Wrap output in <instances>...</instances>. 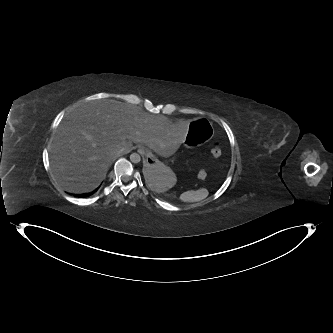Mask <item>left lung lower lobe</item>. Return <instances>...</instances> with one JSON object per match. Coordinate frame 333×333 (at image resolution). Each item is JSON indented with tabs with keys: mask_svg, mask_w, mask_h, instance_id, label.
<instances>
[{
	"mask_svg": "<svg viewBox=\"0 0 333 333\" xmlns=\"http://www.w3.org/2000/svg\"><path fill=\"white\" fill-rule=\"evenodd\" d=\"M144 174L146 176V178L150 181L151 178L153 177L154 175V169L151 165H147L145 168H144Z\"/></svg>",
	"mask_w": 333,
	"mask_h": 333,
	"instance_id": "0a47b994",
	"label": "left lung lower lobe"
}]
</instances>
